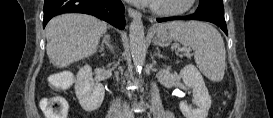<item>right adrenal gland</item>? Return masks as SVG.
Masks as SVG:
<instances>
[{
	"instance_id": "right-adrenal-gland-1",
	"label": "right adrenal gland",
	"mask_w": 273,
	"mask_h": 118,
	"mask_svg": "<svg viewBox=\"0 0 273 118\" xmlns=\"http://www.w3.org/2000/svg\"><path fill=\"white\" fill-rule=\"evenodd\" d=\"M104 45H106V47H108L112 53H115V48L114 46H112L110 44V35L109 34H105L103 37V41L100 47V51L103 52L104 51Z\"/></svg>"
}]
</instances>
